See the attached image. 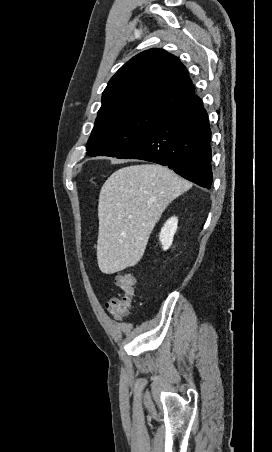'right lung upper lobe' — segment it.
Instances as JSON below:
<instances>
[{
	"instance_id": "cb5924a9",
	"label": "right lung upper lobe",
	"mask_w": 272,
	"mask_h": 452,
	"mask_svg": "<svg viewBox=\"0 0 272 452\" xmlns=\"http://www.w3.org/2000/svg\"><path fill=\"white\" fill-rule=\"evenodd\" d=\"M194 95L185 66L164 50L149 49L130 59L110 79L97 119L132 110L169 113Z\"/></svg>"
}]
</instances>
